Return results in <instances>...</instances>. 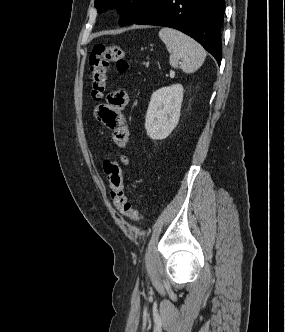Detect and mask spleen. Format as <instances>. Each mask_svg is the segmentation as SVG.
I'll return each mask as SVG.
<instances>
[{
    "mask_svg": "<svg viewBox=\"0 0 285 332\" xmlns=\"http://www.w3.org/2000/svg\"><path fill=\"white\" fill-rule=\"evenodd\" d=\"M159 37L170 54L169 63L172 67H178L179 64L183 72L193 73L202 66L206 51L197 41L169 27L162 28Z\"/></svg>",
    "mask_w": 285,
    "mask_h": 332,
    "instance_id": "1",
    "label": "spleen"
}]
</instances>
